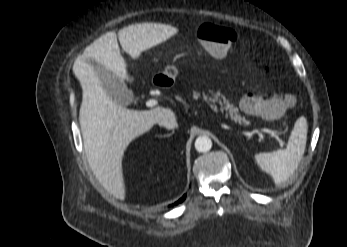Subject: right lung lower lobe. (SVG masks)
<instances>
[{
  "label": "right lung lower lobe",
  "instance_id": "obj_1",
  "mask_svg": "<svg viewBox=\"0 0 347 247\" xmlns=\"http://www.w3.org/2000/svg\"><path fill=\"white\" fill-rule=\"evenodd\" d=\"M185 197L186 196L184 195L178 202L175 203V205L178 204V203H181L182 201H184Z\"/></svg>",
  "mask_w": 347,
  "mask_h": 247
}]
</instances>
